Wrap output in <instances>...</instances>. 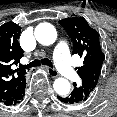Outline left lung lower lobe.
Masks as SVG:
<instances>
[{
    "instance_id": "left-lung-lower-lobe-1",
    "label": "left lung lower lobe",
    "mask_w": 117,
    "mask_h": 117,
    "mask_svg": "<svg viewBox=\"0 0 117 117\" xmlns=\"http://www.w3.org/2000/svg\"><path fill=\"white\" fill-rule=\"evenodd\" d=\"M58 99L65 104H81L86 101L85 96L80 90L74 88L72 93L68 96H58Z\"/></svg>"
}]
</instances>
